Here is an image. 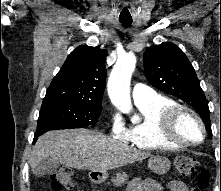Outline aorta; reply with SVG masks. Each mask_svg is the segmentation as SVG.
<instances>
[{
    "label": "aorta",
    "mask_w": 221,
    "mask_h": 191,
    "mask_svg": "<svg viewBox=\"0 0 221 191\" xmlns=\"http://www.w3.org/2000/svg\"><path fill=\"white\" fill-rule=\"evenodd\" d=\"M135 66V55L125 54L118 58L108 79L107 90L111 102L123 113H129L132 110L130 81Z\"/></svg>",
    "instance_id": "obj_1"
}]
</instances>
